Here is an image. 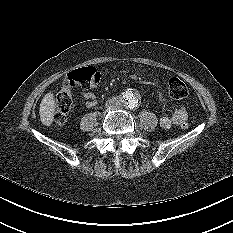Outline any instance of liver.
Instances as JSON below:
<instances>
[{
    "mask_svg": "<svg viewBox=\"0 0 233 233\" xmlns=\"http://www.w3.org/2000/svg\"><path fill=\"white\" fill-rule=\"evenodd\" d=\"M56 102L52 92H48L40 103V120L43 125L50 126L54 121Z\"/></svg>",
    "mask_w": 233,
    "mask_h": 233,
    "instance_id": "obj_1",
    "label": "liver"
}]
</instances>
